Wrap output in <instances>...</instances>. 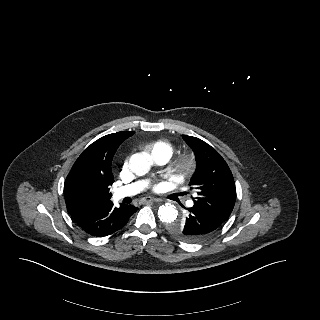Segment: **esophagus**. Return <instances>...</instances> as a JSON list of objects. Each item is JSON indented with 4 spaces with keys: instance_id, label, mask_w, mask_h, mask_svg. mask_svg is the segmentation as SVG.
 Segmentation results:
<instances>
[{
    "instance_id": "obj_1",
    "label": "esophagus",
    "mask_w": 320,
    "mask_h": 320,
    "mask_svg": "<svg viewBox=\"0 0 320 320\" xmlns=\"http://www.w3.org/2000/svg\"><path fill=\"white\" fill-rule=\"evenodd\" d=\"M157 201H158V199L152 198V197H147V198L142 199V203H144V204H149V203H153V202H157Z\"/></svg>"
}]
</instances>
